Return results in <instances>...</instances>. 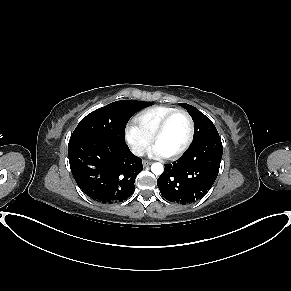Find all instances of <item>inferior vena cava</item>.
<instances>
[{"instance_id": "inferior-vena-cava-1", "label": "inferior vena cava", "mask_w": 291, "mask_h": 291, "mask_svg": "<svg viewBox=\"0 0 291 291\" xmlns=\"http://www.w3.org/2000/svg\"><path fill=\"white\" fill-rule=\"evenodd\" d=\"M132 153L136 156H143L145 153V149L140 145H134L132 147Z\"/></svg>"}]
</instances>
